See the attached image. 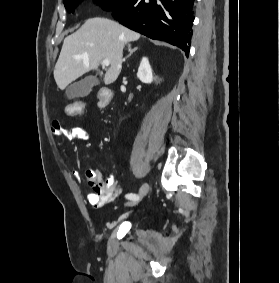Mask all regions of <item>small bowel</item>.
<instances>
[{
  "instance_id": "small-bowel-1",
  "label": "small bowel",
  "mask_w": 280,
  "mask_h": 283,
  "mask_svg": "<svg viewBox=\"0 0 280 283\" xmlns=\"http://www.w3.org/2000/svg\"><path fill=\"white\" fill-rule=\"evenodd\" d=\"M50 130L53 136L65 137L69 140L86 141L89 138L85 127L73 126L66 128L59 121H53ZM72 175L76 179L81 177V173L78 170H73ZM85 176L88 185L92 189L87 195V199L95 209L101 208L113 201L121 193V188L112 175L104 179L99 169L88 168L85 171Z\"/></svg>"
}]
</instances>
